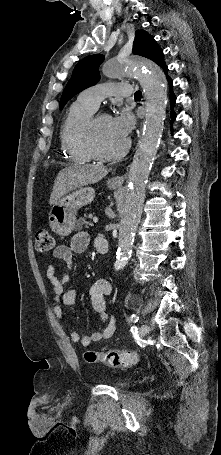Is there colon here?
Segmentation results:
<instances>
[{
	"label": "colon",
	"mask_w": 221,
	"mask_h": 455,
	"mask_svg": "<svg viewBox=\"0 0 221 455\" xmlns=\"http://www.w3.org/2000/svg\"><path fill=\"white\" fill-rule=\"evenodd\" d=\"M36 250L45 254L54 250V240L47 230L36 233ZM85 360L91 364H102L112 368L133 367L138 363V354L134 351H87Z\"/></svg>",
	"instance_id": "5ec220e1"
}]
</instances>
